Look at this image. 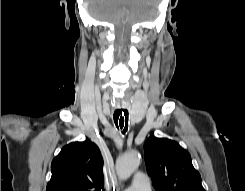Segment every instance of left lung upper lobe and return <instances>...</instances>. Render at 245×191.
<instances>
[{
    "label": "left lung upper lobe",
    "mask_w": 245,
    "mask_h": 191,
    "mask_svg": "<svg viewBox=\"0 0 245 191\" xmlns=\"http://www.w3.org/2000/svg\"><path fill=\"white\" fill-rule=\"evenodd\" d=\"M144 152L156 191H205L189 152L176 141L150 137L144 144Z\"/></svg>",
    "instance_id": "5c2ea615"
}]
</instances>
